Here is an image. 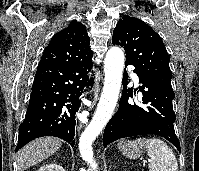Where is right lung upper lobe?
Segmentation results:
<instances>
[{
  "mask_svg": "<svg viewBox=\"0 0 199 171\" xmlns=\"http://www.w3.org/2000/svg\"><path fill=\"white\" fill-rule=\"evenodd\" d=\"M85 25L73 21L56 33L45 48L39 65L75 64L92 58Z\"/></svg>",
  "mask_w": 199,
  "mask_h": 171,
  "instance_id": "1",
  "label": "right lung upper lobe"
}]
</instances>
